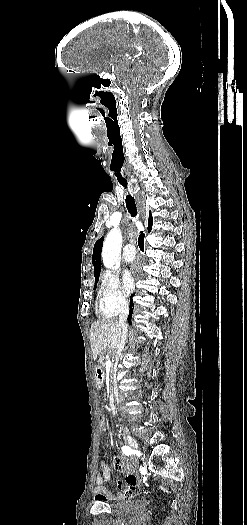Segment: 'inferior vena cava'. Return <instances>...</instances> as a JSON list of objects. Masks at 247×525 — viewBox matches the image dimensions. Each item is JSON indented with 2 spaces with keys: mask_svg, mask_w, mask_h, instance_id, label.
Masks as SVG:
<instances>
[{
  "mask_svg": "<svg viewBox=\"0 0 247 525\" xmlns=\"http://www.w3.org/2000/svg\"><path fill=\"white\" fill-rule=\"evenodd\" d=\"M129 315V305L127 301H120L119 303V317H118V323L122 329L121 337L119 343H117V353H116V365H118L119 359L122 357V351L125 347L126 339H127V333H128V325H127V319ZM115 387H117V373H115Z\"/></svg>",
  "mask_w": 247,
  "mask_h": 525,
  "instance_id": "602c4592",
  "label": "inferior vena cava"
}]
</instances>
